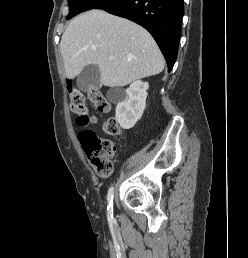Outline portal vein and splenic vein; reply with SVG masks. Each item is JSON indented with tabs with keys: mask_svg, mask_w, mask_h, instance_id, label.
Returning a JSON list of instances; mask_svg holds the SVG:
<instances>
[{
	"mask_svg": "<svg viewBox=\"0 0 248 258\" xmlns=\"http://www.w3.org/2000/svg\"><path fill=\"white\" fill-rule=\"evenodd\" d=\"M114 59V57L113 56H109V60H113Z\"/></svg>",
	"mask_w": 248,
	"mask_h": 258,
	"instance_id": "obj_1",
	"label": "portal vein and splenic vein"
}]
</instances>
